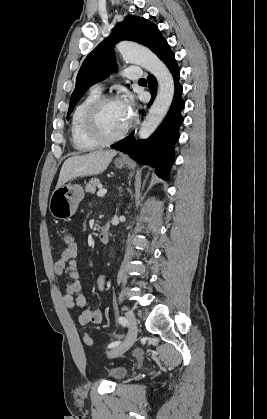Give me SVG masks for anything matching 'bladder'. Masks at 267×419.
Returning a JSON list of instances; mask_svg holds the SVG:
<instances>
[{
	"mask_svg": "<svg viewBox=\"0 0 267 419\" xmlns=\"http://www.w3.org/2000/svg\"><path fill=\"white\" fill-rule=\"evenodd\" d=\"M103 371L107 378L112 381H119L128 373V370L125 367H105Z\"/></svg>",
	"mask_w": 267,
	"mask_h": 419,
	"instance_id": "1",
	"label": "bladder"
}]
</instances>
